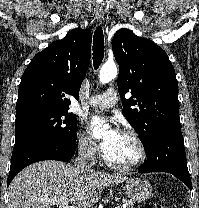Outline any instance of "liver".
<instances>
[{"mask_svg":"<svg viewBox=\"0 0 199 208\" xmlns=\"http://www.w3.org/2000/svg\"><path fill=\"white\" fill-rule=\"evenodd\" d=\"M126 180L121 174L88 172L59 161H40L13 179L8 208H52L58 203L91 207L99 201L102 189Z\"/></svg>","mask_w":199,"mask_h":208,"instance_id":"6515ba94","label":"liver"}]
</instances>
